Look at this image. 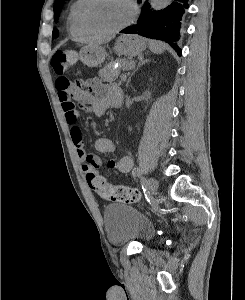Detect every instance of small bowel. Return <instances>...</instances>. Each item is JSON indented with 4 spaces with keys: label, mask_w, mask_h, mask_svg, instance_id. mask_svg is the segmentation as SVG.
I'll use <instances>...</instances> for the list:
<instances>
[{
    "label": "small bowel",
    "mask_w": 245,
    "mask_h": 300,
    "mask_svg": "<svg viewBox=\"0 0 245 300\" xmlns=\"http://www.w3.org/2000/svg\"><path fill=\"white\" fill-rule=\"evenodd\" d=\"M55 87L66 123L70 126V137L74 145L82 170L86 177L95 173L101 166V159L95 153L86 151L82 131L77 125L78 110L75 102L88 105L87 111L96 117L104 115L109 107L116 106V97L122 94L119 87L108 85L97 78L89 79L83 85H74L67 78L59 76ZM95 150L101 154H111L116 151L115 143L106 137H99L95 141ZM108 168L120 173H128L133 168V160L128 155L112 159L107 163Z\"/></svg>",
    "instance_id": "small-bowel-1"
}]
</instances>
